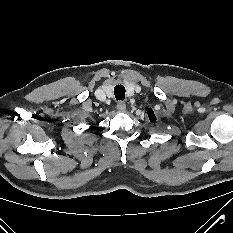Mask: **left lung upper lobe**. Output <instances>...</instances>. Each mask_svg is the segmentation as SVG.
I'll return each instance as SVG.
<instances>
[{
    "label": "left lung upper lobe",
    "instance_id": "left-lung-upper-lobe-1",
    "mask_svg": "<svg viewBox=\"0 0 233 233\" xmlns=\"http://www.w3.org/2000/svg\"><path fill=\"white\" fill-rule=\"evenodd\" d=\"M148 116H149V119L151 122H155L156 117H155L154 112L151 108L148 110Z\"/></svg>",
    "mask_w": 233,
    "mask_h": 233
}]
</instances>
